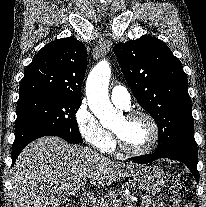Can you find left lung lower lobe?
<instances>
[{
    "instance_id": "obj_1",
    "label": "left lung lower lobe",
    "mask_w": 206,
    "mask_h": 207,
    "mask_svg": "<svg viewBox=\"0 0 206 207\" xmlns=\"http://www.w3.org/2000/svg\"><path fill=\"white\" fill-rule=\"evenodd\" d=\"M159 158H169L185 163L190 169V171L192 172V174L194 175L196 181L199 180V172L197 170L198 152L195 151L170 150L160 153L155 152L153 154H147V155L133 158L134 159L133 162L149 163Z\"/></svg>"
}]
</instances>
